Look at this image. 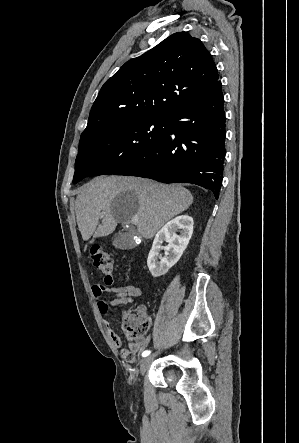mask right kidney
Returning a JSON list of instances; mask_svg holds the SVG:
<instances>
[{
    "instance_id": "ca27d5eb",
    "label": "right kidney",
    "mask_w": 299,
    "mask_h": 443,
    "mask_svg": "<svg viewBox=\"0 0 299 443\" xmlns=\"http://www.w3.org/2000/svg\"><path fill=\"white\" fill-rule=\"evenodd\" d=\"M193 224L192 217L181 215L157 232L147 258V265L153 277L164 275L178 262L191 239ZM178 231L180 235H177ZM163 242H167L168 245L162 246ZM160 250L165 251L164 257H161Z\"/></svg>"
}]
</instances>
